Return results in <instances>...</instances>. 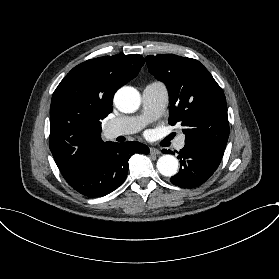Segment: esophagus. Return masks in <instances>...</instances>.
Listing matches in <instances>:
<instances>
[{
	"label": "esophagus",
	"mask_w": 279,
	"mask_h": 279,
	"mask_svg": "<svg viewBox=\"0 0 279 279\" xmlns=\"http://www.w3.org/2000/svg\"><path fill=\"white\" fill-rule=\"evenodd\" d=\"M161 152L159 151V149L155 148V147H150V154L151 155H159Z\"/></svg>",
	"instance_id": "obj_1"
}]
</instances>
